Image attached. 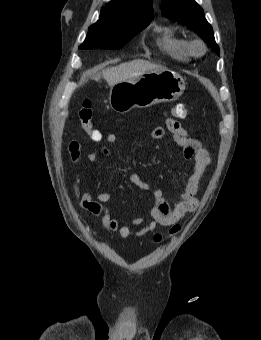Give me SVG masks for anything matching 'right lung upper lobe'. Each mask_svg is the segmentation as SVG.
<instances>
[{
	"label": "right lung upper lobe",
	"mask_w": 261,
	"mask_h": 340,
	"mask_svg": "<svg viewBox=\"0 0 261 340\" xmlns=\"http://www.w3.org/2000/svg\"><path fill=\"white\" fill-rule=\"evenodd\" d=\"M100 18L116 21H151L153 7L151 0H114L101 9Z\"/></svg>",
	"instance_id": "1"
}]
</instances>
